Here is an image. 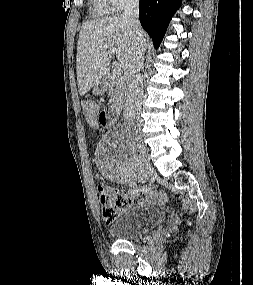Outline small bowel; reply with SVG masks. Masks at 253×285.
Returning <instances> with one entry per match:
<instances>
[{
    "label": "small bowel",
    "instance_id": "1",
    "mask_svg": "<svg viewBox=\"0 0 253 285\" xmlns=\"http://www.w3.org/2000/svg\"><path fill=\"white\" fill-rule=\"evenodd\" d=\"M109 110L108 109H99V114L97 121L100 126L109 125ZM133 200H137L140 205H157L164 204L166 201V195L162 191H155L149 187L141 188H130L126 190Z\"/></svg>",
    "mask_w": 253,
    "mask_h": 285
}]
</instances>
